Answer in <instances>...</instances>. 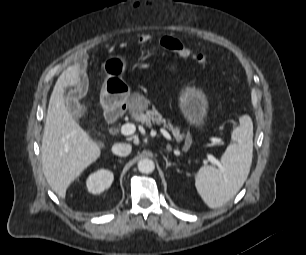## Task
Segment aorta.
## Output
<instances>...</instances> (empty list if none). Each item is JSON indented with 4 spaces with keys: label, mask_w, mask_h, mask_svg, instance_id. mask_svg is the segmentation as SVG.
I'll use <instances>...</instances> for the list:
<instances>
[{
    "label": "aorta",
    "mask_w": 306,
    "mask_h": 255,
    "mask_svg": "<svg viewBox=\"0 0 306 255\" xmlns=\"http://www.w3.org/2000/svg\"><path fill=\"white\" fill-rule=\"evenodd\" d=\"M154 169H155V164L151 159L145 158V159H141L138 162V170L141 173L149 174V173H152Z\"/></svg>",
    "instance_id": "aorta-1"
}]
</instances>
